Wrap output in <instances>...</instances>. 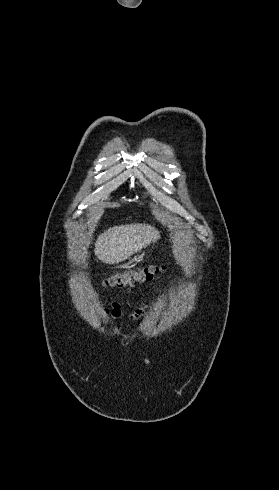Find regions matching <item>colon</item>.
<instances>
[{
  "mask_svg": "<svg viewBox=\"0 0 279 490\" xmlns=\"http://www.w3.org/2000/svg\"><path fill=\"white\" fill-rule=\"evenodd\" d=\"M161 271H164V268L145 265L135 270L117 272L107 276L101 281V285L107 288L132 287L153 278Z\"/></svg>",
  "mask_w": 279,
  "mask_h": 490,
  "instance_id": "colon-1",
  "label": "colon"
}]
</instances>
